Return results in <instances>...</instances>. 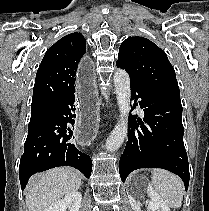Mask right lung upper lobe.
Returning a JSON list of instances; mask_svg holds the SVG:
<instances>
[{"label": "right lung upper lobe", "instance_id": "1", "mask_svg": "<svg viewBox=\"0 0 209 211\" xmlns=\"http://www.w3.org/2000/svg\"><path fill=\"white\" fill-rule=\"evenodd\" d=\"M85 52L86 40L78 32L64 36L47 50L36 74L31 112L45 111L74 94L76 71Z\"/></svg>", "mask_w": 209, "mask_h": 211}]
</instances>
